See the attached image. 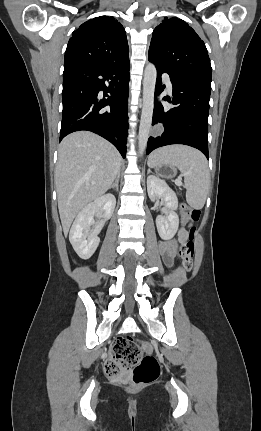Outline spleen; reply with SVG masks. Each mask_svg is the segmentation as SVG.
<instances>
[{
	"label": "spleen",
	"instance_id": "obj_1",
	"mask_svg": "<svg viewBox=\"0 0 261 431\" xmlns=\"http://www.w3.org/2000/svg\"><path fill=\"white\" fill-rule=\"evenodd\" d=\"M167 163L177 167L184 176L187 203L195 209L203 208L210 184L207 160L196 149L173 145L154 151L148 160L150 167Z\"/></svg>",
	"mask_w": 261,
	"mask_h": 431
}]
</instances>
